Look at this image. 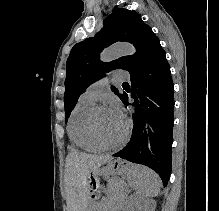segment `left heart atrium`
I'll return each mask as SVG.
<instances>
[{
    "mask_svg": "<svg viewBox=\"0 0 219 211\" xmlns=\"http://www.w3.org/2000/svg\"><path fill=\"white\" fill-rule=\"evenodd\" d=\"M107 109L117 123L125 125L122 107L118 100L112 99Z\"/></svg>",
    "mask_w": 219,
    "mask_h": 211,
    "instance_id": "1",
    "label": "left heart atrium"
}]
</instances>
